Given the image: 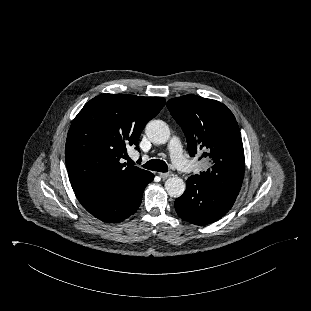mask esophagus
Masks as SVG:
<instances>
[{"mask_svg":"<svg viewBox=\"0 0 311 311\" xmlns=\"http://www.w3.org/2000/svg\"><path fill=\"white\" fill-rule=\"evenodd\" d=\"M173 174L168 172V173H159V176L162 178V179H167L169 177H171Z\"/></svg>","mask_w":311,"mask_h":311,"instance_id":"esophagus-1","label":"esophagus"}]
</instances>
